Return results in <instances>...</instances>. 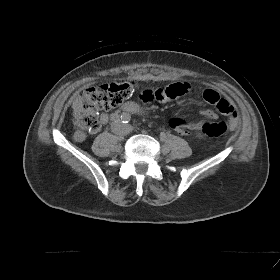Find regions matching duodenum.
<instances>
[{
	"instance_id": "obj_1",
	"label": "duodenum",
	"mask_w": 280,
	"mask_h": 280,
	"mask_svg": "<svg viewBox=\"0 0 280 280\" xmlns=\"http://www.w3.org/2000/svg\"><path fill=\"white\" fill-rule=\"evenodd\" d=\"M122 110L128 111V112H134V113L142 112L141 109L135 103H132V102L125 103L122 106Z\"/></svg>"
}]
</instances>
